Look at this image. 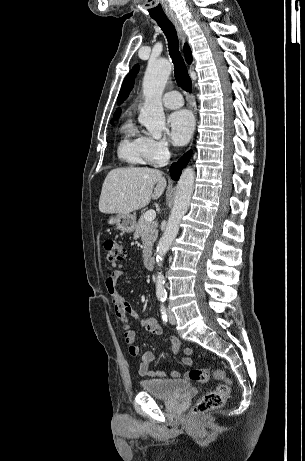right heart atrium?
I'll return each mask as SVG.
<instances>
[{"label": "right heart atrium", "instance_id": "right-heart-atrium-1", "mask_svg": "<svg viewBox=\"0 0 305 461\" xmlns=\"http://www.w3.org/2000/svg\"><path fill=\"white\" fill-rule=\"evenodd\" d=\"M148 153L153 164H162L168 157L170 145L167 140L148 138Z\"/></svg>", "mask_w": 305, "mask_h": 461}]
</instances>
